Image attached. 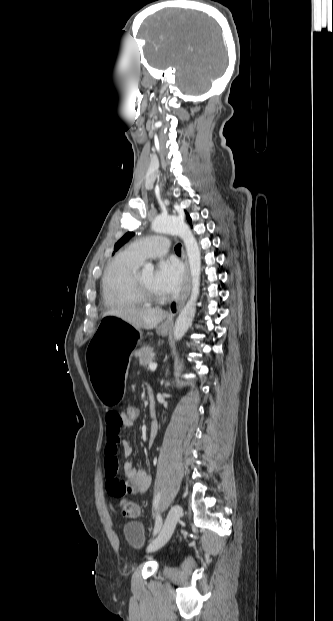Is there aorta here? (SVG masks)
Masks as SVG:
<instances>
[{
	"label": "aorta",
	"mask_w": 333,
	"mask_h": 621,
	"mask_svg": "<svg viewBox=\"0 0 333 621\" xmlns=\"http://www.w3.org/2000/svg\"><path fill=\"white\" fill-rule=\"evenodd\" d=\"M151 228L156 233H169L179 236L183 240L186 248L192 278V290L191 295L181 310L174 327V339L176 341H180L192 324L196 313V302L200 292V248L190 227L180 218L157 216L152 222ZM153 270L154 266L151 263H146L143 267L144 273H152Z\"/></svg>",
	"instance_id": "762f6f07"
}]
</instances>
